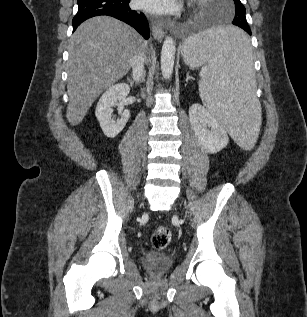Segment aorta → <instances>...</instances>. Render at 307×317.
I'll list each match as a JSON object with an SVG mask.
<instances>
[{
	"mask_svg": "<svg viewBox=\"0 0 307 317\" xmlns=\"http://www.w3.org/2000/svg\"><path fill=\"white\" fill-rule=\"evenodd\" d=\"M175 54V41L171 36H167L161 50V72L164 79H169L172 76Z\"/></svg>",
	"mask_w": 307,
	"mask_h": 317,
	"instance_id": "1",
	"label": "aorta"
}]
</instances>
